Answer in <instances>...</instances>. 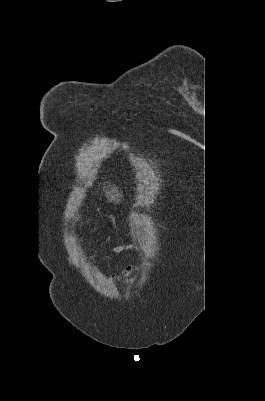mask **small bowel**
<instances>
[{
    "label": "small bowel",
    "mask_w": 265,
    "mask_h": 401,
    "mask_svg": "<svg viewBox=\"0 0 265 401\" xmlns=\"http://www.w3.org/2000/svg\"><path fill=\"white\" fill-rule=\"evenodd\" d=\"M135 248L132 245H118L115 246L111 249L110 254H118L121 253L123 251L126 250H134ZM109 255L105 256L104 259H108ZM137 271V267L136 266H128L127 268H125L120 274H117L115 276L112 277L113 281H117L121 278H125V277H129L130 275H132L134 272Z\"/></svg>",
    "instance_id": "small-bowel-1"
}]
</instances>
